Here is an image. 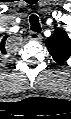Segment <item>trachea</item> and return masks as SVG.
Listing matches in <instances>:
<instances>
[{
    "label": "trachea",
    "instance_id": "trachea-1",
    "mask_svg": "<svg viewBox=\"0 0 71 119\" xmlns=\"http://www.w3.org/2000/svg\"><path fill=\"white\" fill-rule=\"evenodd\" d=\"M29 21H30V24H31V30L36 32V33H40L41 27H40L38 17L33 14V15L30 16Z\"/></svg>",
    "mask_w": 71,
    "mask_h": 119
}]
</instances>
